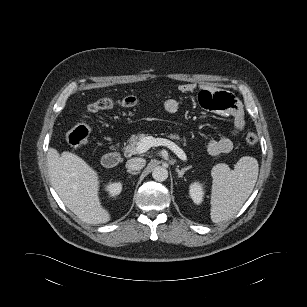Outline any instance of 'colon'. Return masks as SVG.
I'll return each instance as SVG.
<instances>
[{"mask_svg":"<svg viewBox=\"0 0 307 307\" xmlns=\"http://www.w3.org/2000/svg\"><path fill=\"white\" fill-rule=\"evenodd\" d=\"M137 99L133 96H126L119 100L110 97H101L88 105L89 112H97L112 108L114 105L132 107L136 105ZM90 131L87 125L78 124L74 126L67 135V141L73 148H79L88 142ZM245 142L248 146H254L258 142V136L254 131H248L245 135Z\"/></svg>","mask_w":307,"mask_h":307,"instance_id":"colon-1","label":"colon"}]
</instances>
